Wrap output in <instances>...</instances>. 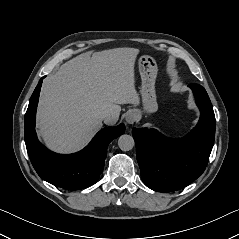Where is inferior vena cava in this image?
Here are the masks:
<instances>
[{
  "mask_svg": "<svg viewBox=\"0 0 239 239\" xmlns=\"http://www.w3.org/2000/svg\"><path fill=\"white\" fill-rule=\"evenodd\" d=\"M99 119L103 121H109L112 119V116L109 113H102L99 115Z\"/></svg>",
  "mask_w": 239,
  "mask_h": 239,
  "instance_id": "obj_1",
  "label": "inferior vena cava"
}]
</instances>
